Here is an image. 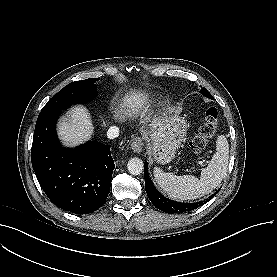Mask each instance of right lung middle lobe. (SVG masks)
<instances>
[{
	"label": "right lung middle lobe",
	"mask_w": 277,
	"mask_h": 277,
	"mask_svg": "<svg viewBox=\"0 0 277 277\" xmlns=\"http://www.w3.org/2000/svg\"><path fill=\"white\" fill-rule=\"evenodd\" d=\"M97 78L75 81L61 89L48 103L43 107L39 116L61 111L72 104L86 103L96 96V86L94 82Z\"/></svg>",
	"instance_id": "1"
}]
</instances>
